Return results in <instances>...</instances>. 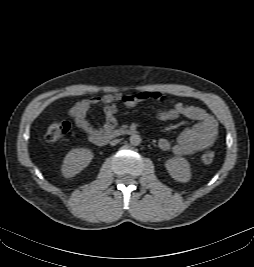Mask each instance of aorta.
<instances>
[{
  "label": "aorta",
  "instance_id": "obj_1",
  "mask_svg": "<svg viewBox=\"0 0 254 267\" xmlns=\"http://www.w3.org/2000/svg\"><path fill=\"white\" fill-rule=\"evenodd\" d=\"M141 137H140V135H138V134H132L131 136H130V143H131V145H133V146H138V145H140V143H141Z\"/></svg>",
  "mask_w": 254,
  "mask_h": 267
}]
</instances>
